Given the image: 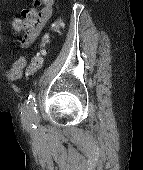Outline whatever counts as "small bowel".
Here are the masks:
<instances>
[{
  "instance_id": "c3829d8e",
  "label": "small bowel",
  "mask_w": 143,
  "mask_h": 170,
  "mask_svg": "<svg viewBox=\"0 0 143 170\" xmlns=\"http://www.w3.org/2000/svg\"><path fill=\"white\" fill-rule=\"evenodd\" d=\"M55 0H41L43 3V8L39 11H36V16L34 20L27 26V27H17L16 24L21 22L20 17L15 18L12 22V26L15 30H26V35L21 42L22 47H27L32 44L37 36L39 35L40 31L46 24V22L50 19L53 13V6ZM26 57L21 56L19 57L11 66V68L7 72V76L10 80L16 81L22 77L23 69L26 66Z\"/></svg>"
}]
</instances>
